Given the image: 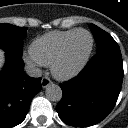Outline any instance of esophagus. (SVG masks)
<instances>
[{
	"label": "esophagus",
	"mask_w": 128,
	"mask_h": 128,
	"mask_svg": "<svg viewBox=\"0 0 128 128\" xmlns=\"http://www.w3.org/2000/svg\"><path fill=\"white\" fill-rule=\"evenodd\" d=\"M50 84H52V81L48 77H43L42 78L41 85H42L43 88H46Z\"/></svg>",
	"instance_id": "1"
}]
</instances>
